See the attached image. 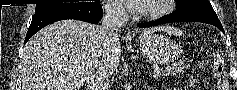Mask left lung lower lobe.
I'll list each match as a JSON object with an SVG mask.
<instances>
[{
	"label": "left lung lower lobe",
	"instance_id": "obj_1",
	"mask_svg": "<svg viewBox=\"0 0 237 90\" xmlns=\"http://www.w3.org/2000/svg\"><path fill=\"white\" fill-rule=\"evenodd\" d=\"M170 22H203V23H208L212 24L216 27H218L223 33V27L221 25V22L219 20H211L207 18H202L198 16H193L189 14H182V13H173L171 15L165 16L162 19L154 22H149V23H141L138 24L140 28H146V27H151V26H156L164 23H170Z\"/></svg>",
	"mask_w": 237,
	"mask_h": 90
}]
</instances>
